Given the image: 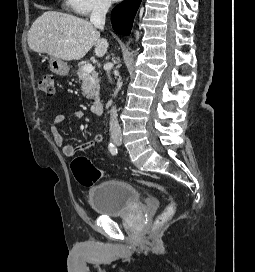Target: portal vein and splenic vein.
I'll return each mask as SVG.
<instances>
[{"label": "portal vein and splenic vein", "instance_id": "portal-vein-and-splenic-vein-1", "mask_svg": "<svg viewBox=\"0 0 255 272\" xmlns=\"http://www.w3.org/2000/svg\"><path fill=\"white\" fill-rule=\"evenodd\" d=\"M94 70L93 66L91 64H85L83 66V71L85 73H91Z\"/></svg>", "mask_w": 255, "mask_h": 272}]
</instances>
